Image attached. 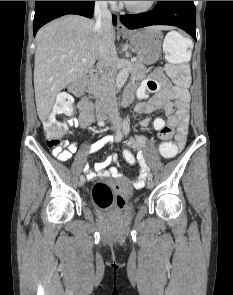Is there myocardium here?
<instances>
[{"mask_svg": "<svg viewBox=\"0 0 233 295\" xmlns=\"http://www.w3.org/2000/svg\"><path fill=\"white\" fill-rule=\"evenodd\" d=\"M157 1H149L145 6L133 7L124 2V8L133 14H143L150 11L156 4Z\"/></svg>", "mask_w": 233, "mask_h": 295, "instance_id": "obj_1", "label": "myocardium"}]
</instances>
